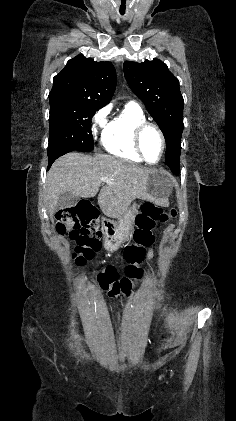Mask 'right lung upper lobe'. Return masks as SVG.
<instances>
[{
    "instance_id": "cb5924a9",
    "label": "right lung upper lobe",
    "mask_w": 236,
    "mask_h": 421,
    "mask_svg": "<svg viewBox=\"0 0 236 421\" xmlns=\"http://www.w3.org/2000/svg\"><path fill=\"white\" fill-rule=\"evenodd\" d=\"M115 87L116 72L112 63L95 62L78 55L54 77L49 97L88 100L105 106Z\"/></svg>"
}]
</instances>
